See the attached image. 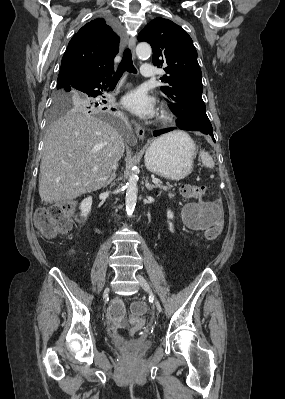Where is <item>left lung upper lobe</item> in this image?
<instances>
[{
	"label": "left lung upper lobe",
	"mask_w": 285,
	"mask_h": 399,
	"mask_svg": "<svg viewBox=\"0 0 285 399\" xmlns=\"http://www.w3.org/2000/svg\"><path fill=\"white\" fill-rule=\"evenodd\" d=\"M138 40L151 45L153 64L164 67L167 75L161 81L166 85L161 90L178 117L177 126L213 136L202 99L201 69L191 37L171 20L158 17L144 27Z\"/></svg>",
	"instance_id": "left-lung-upper-lobe-1"
}]
</instances>
